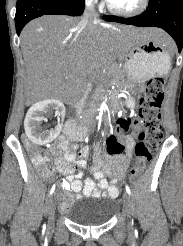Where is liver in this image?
<instances>
[{
	"label": "liver",
	"mask_w": 183,
	"mask_h": 246,
	"mask_svg": "<svg viewBox=\"0 0 183 246\" xmlns=\"http://www.w3.org/2000/svg\"><path fill=\"white\" fill-rule=\"evenodd\" d=\"M80 18L44 15L21 32L26 67L25 96L28 103L64 99L83 87L85 77L97 68L124 60L126 46L134 40H155L172 45L160 29H140L100 21L84 25Z\"/></svg>",
	"instance_id": "6515ba94"
}]
</instances>
